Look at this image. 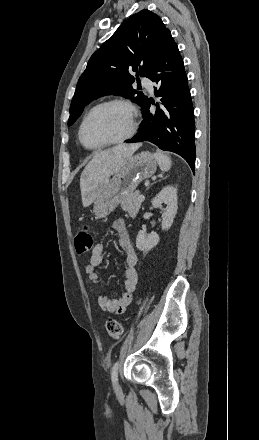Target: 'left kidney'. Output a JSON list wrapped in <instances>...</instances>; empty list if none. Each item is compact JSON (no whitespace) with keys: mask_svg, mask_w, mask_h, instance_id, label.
Masks as SVG:
<instances>
[{"mask_svg":"<svg viewBox=\"0 0 259 440\" xmlns=\"http://www.w3.org/2000/svg\"><path fill=\"white\" fill-rule=\"evenodd\" d=\"M162 203L166 205L162 213V230H168L177 213V189L171 185L163 187L162 190L154 197L152 206L154 208H161ZM159 242V236L156 232L147 234L141 230L136 237V247L143 252H148L153 249Z\"/></svg>","mask_w":259,"mask_h":440,"instance_id":"5707ae66","label":"left kidney"}]
</instances>
